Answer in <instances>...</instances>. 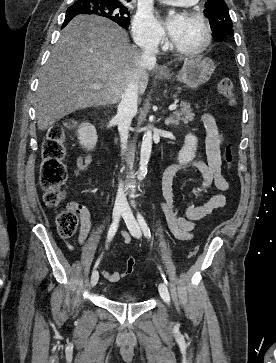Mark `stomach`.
<instances>
[{
    "mask_svg": "<svg viewBox=\"0 0 276 363\" xmlns=\"http://www.w3.org/2000/svg\"><path fill=\"white\" fill-rule=\"evenodd\" d=\"M215 70L214 62L207 57H194L186 59L183 63L177 79L190 87L196 88L205 84L212 76ZM162 79H170L168 73L160 74Z\"/></svg>",
    "mask_w": 276,
    "mask_h": 363,
    "instance_id": "stomach-1",
    "label": "stomach"
}]
</instances>
